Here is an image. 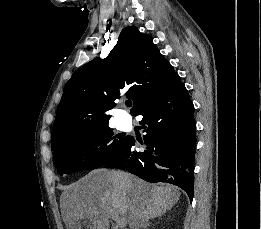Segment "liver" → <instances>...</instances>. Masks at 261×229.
Masks as SVG:
<instances>
[{
	"mask_svg": "<svg viewBox=\"0 0 261 229\" xmlns=\"http://www.w3.org/2000/svg\"><path fill=\"white\" fill-rule=\"evenodd\" d=\"M180 197L179 187H156L123 173L95 169L70 185L64 199L68 229H110L109 219H125L130 229H143L149 219L170 211Z\"/></svg>",
	"mask_w": 261,
	"mask_h": 229,
	"instance_id": "liver-1",
	"label": "liver"
}]
</instances>
